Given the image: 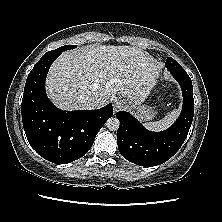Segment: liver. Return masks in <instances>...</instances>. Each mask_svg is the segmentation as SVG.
Segmentation results:
<instances>
[{
  "label": "liver",
  "instance_id": "6515ba94",
  "mask_svg": "<svg viewBox=\"0 0 222 222\" xmlns=\"http://www.w3.org/2000/svg\"><path fill=\"white\" fill-rule=\"evenodd\" d=\"M161 68L162 64L135 47L90 45L63 52L50 68L46 89L63 110L85 109L86 96L97 97L101 107L116 94L142 103Z\"/></svg>",
  "mask_w": 222,
  "mask_h": 222
}]
</instances>
